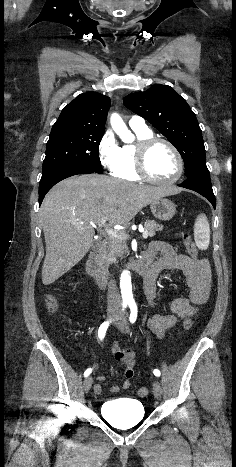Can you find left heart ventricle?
<instances>
[{
  "label": "left heart ventricle",
  "instance_id": "left-heart-ventricle-1",
  "mask_svg": "<svg viewBox=\"0 0 236 467\" xmlns=\"http://www.w3.org/2000/svg\"><path fill=\"white\" fill-rule=\"evenodd\" d=\"M147 169L154 178L169 180L176 175L178 162L168 146L157 143L148 154Z\"/></svg>",
  "mask_w": 236,
  "mask_h": 467
}]
</instances>
